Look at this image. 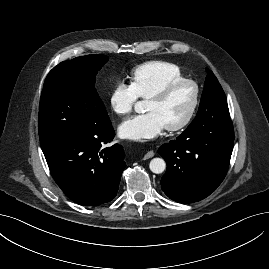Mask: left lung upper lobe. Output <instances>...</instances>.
<instances>
[{
  "label": "left lung upper lobe",
  "mask_w": 269,
  "mask_h": 269,
  "mask_svg": "<svg viewBox=\"0 0 269 269\" xmlns=\"http://www.w3.org/2000/svg\"><path fill=\"white\" fill-rule=\"evenodd\" d=\"M230 118L226 96L212 71H208L199 110L190 125Z\"/></svg>",
  "instance_id": "5c2ea615"
}]
</instances>
